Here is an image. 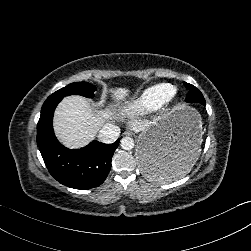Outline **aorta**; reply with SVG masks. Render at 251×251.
Instances as JSON below:
<instances>
[{"mask_svg": "<svg viewBox=\"0 0 251 251\" xmlns=\"http://www.w3.org/2000/svg\"><path fill=\"white\" fill-rule=\"evenodd\" d=\"M121 148L131 150L134 147V140L130 136H125L120 141Z\"/></svg>", "mask_w": 251, "mask_h": 251, "instance_id": "obj_1", "label": "aorta"}]
</instances>
